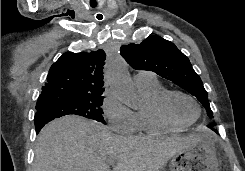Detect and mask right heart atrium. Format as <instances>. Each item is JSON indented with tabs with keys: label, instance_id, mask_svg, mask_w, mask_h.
Wrapping results in <instances>:
<instances>
[{
	"label": "right heart atrium",
	"instance_id": "right-heart-atrium-1",
	"mask_svg": "<svg viewBox=\"0 0 245 171\" xmlns=\"http://www.w3.org/2000/svg\"><path fill=\"white\" fill-rule=\"evenodd\" d=\"M102 114L109 128L116 133L130 135L137 131L135 112L123 105L110 91L105 93Z\"/></svg>",
	"mask_w": 245,
	"mask_h": 171
}]
</instances>
